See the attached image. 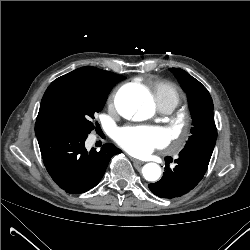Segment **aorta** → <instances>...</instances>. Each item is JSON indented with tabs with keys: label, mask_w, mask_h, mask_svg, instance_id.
I'll use <instances>...</instances> for the list:
<instances>
[{
	"label": "aorta",
	"mask_w": 250,
	"mask_h": 250,
	"mask_svg": "<svg viewBox=\"0 0 250 250\" xmlns=\"http://www.w3.org/2000/svg\"><path fill=\"white\" fill-rule=\"evenodd\" d=\"M149 91L139 84H127L122 87L116 97V108L125 118L145 120L152 116L154 107L150 101ZM147 181H156L161 175V168L156 163H147L142 168Z\"/></svg>",
	"instance_id": "aorta-1"
}]
</instances>
